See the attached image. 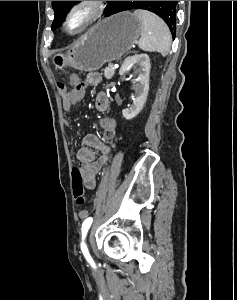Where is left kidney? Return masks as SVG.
Segmentation results:
<instances>
[{
    "instance_id": "left-kidney-1",
    "label": "left kidney",
    "mask_w": 237,
    "mask_h": 300,
    "mask_svg": "<svg viewBox=\"0 0 237 300\" xmlns=\"http://www.w3.org/2000/svg\"><path fill=\"white\" fill-rule=\"evenodd\" d=\"M138 65V77L134 83V101L133 105L129 109H123L122 115L124 119H134L139 113H141L147 99L149 91V73L151 69L150 59L148 55H133V57H127L121 69L119 75H124L126 71H129L130 67Z\"/></svg>"
}]
</instances>
